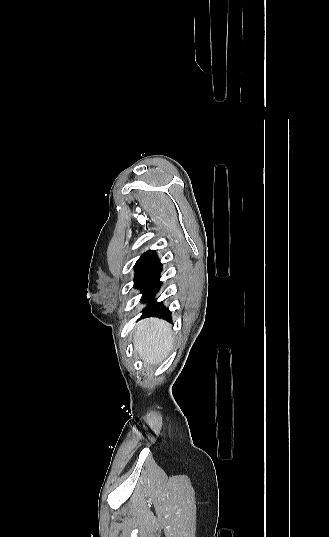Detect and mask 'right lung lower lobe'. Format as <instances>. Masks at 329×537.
I'll return each mask as SVG.
<instances>
[{
  "label": "right lung lower lobe",
  "instance_id": "98d812e1",
  "mask_svg": "<svg viewBox=\"0 0 329 537\" xmlns=\"http://www.w3.org/2000/svg\"><path fill=\"white\" fill-rule=\"evenodd\" d=\"M162 271V263L160 260L150 264L138 277L134 283V287L141 289V302L149 305L142 311L143 317L157 316L171 321V312L166 309L162 302L153 301L158 293L162 282L160 281V273Z\"/></svg>",
  "mask_w": 329,
  "mask_h": 537
}]
</instances>
